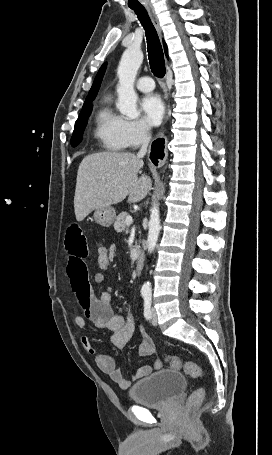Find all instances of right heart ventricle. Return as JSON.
I'll use <instances>...</instances> for the list:
<instances>
[{"label": "right heart ventricle", "instance_id": "obj_1", "mask_svg": "<svg viewBox=\"0 0 272 455\" xmlns=\"http://www.w3.org/2000/svg\"><path fill=\"white\" fill-rule=\"evenodd\" d=\"M122 125L123 118L112 110L109 97H105L94 116V137L104 150L118 152L127 147Z\"/></svg>", "mask_w": 272, "mask_h": 455}]
</instances>
